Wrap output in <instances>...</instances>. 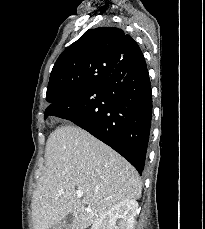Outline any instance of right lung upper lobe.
I'll use <instances>...</instances> for the list:
<instances>
[{
  "mask_svg": "<svg viewBox=\"0 0 205 229\" xmlns=\"http://www.w3.org/2000/svg\"><path fill=\"white\" fill-rule=\"evenodd\" d=\"M138 44L123 30L98 27L87 30L57 59L48 83L46 100L55 103L94 84L97 76L112 73L122 59L135 58Z\"/></svg>",
  "mask_w": 205,
  "mask_h": 229,
  "instance_id": "right-lung-upper-lobe-1",
  "label": "right lung upper lobe"
}]
</instances>
